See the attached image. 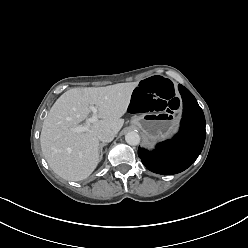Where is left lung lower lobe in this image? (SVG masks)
Returning <instances> with one entry per match:
<instances>
[{
    "instance_id": "0a47b994",
    "label": "left lung lower lobe",
    "mask_w": 248,
    "mask_h": 248,
    "mask_svg": "<svg viewBox=\"0 0 248 248\" xmlns=\"http://www.w3.org/2000/svg\"><path fill=\"white\" fill-rule=\"evenodd\" d=\"M183 114L178 134L157 144L153 151L138 148V156L150 171L163 175L177 174L191 166L200 155L205 142V117L192 93L178 86Z\"/></svg>"
}]
</instances>
